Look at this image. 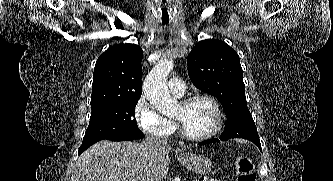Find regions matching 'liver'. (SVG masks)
<instances>
[{
    "instance_id": "6515ba94",
    "label": "liver",
    "mask_w": 333,
    "mask_h": 181,
    "mask_svg": "<svg viewBox=\"0 0 333 181\" xmlns=\"http://www.w3.org/2000/svg\"><path fill=\"white\" fill-rule=\"evenodd\" d=\"M171 148L150 151L145 143H95L78 160L80 181H161L169 170Z\"/></svg>"
}]
</instances>
